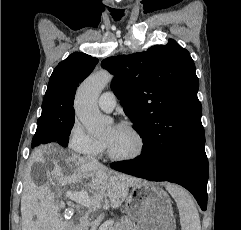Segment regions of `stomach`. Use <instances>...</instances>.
Segmentation results:
<instances>
[{"label": "stomach", "instance_id": "1", "mask_svg": "<svg viewBox=\"0 0 241 230\" xmlns=\"http://www.w3.org/2000/svg\"><path fill=\"white\" fill-rule=\"evenodd\" d=\"M125 209L136 222L134 230H176L170 197L153 183L140 181L133 185Z\"/></svg>", "mask_w": 241, "mask_h": 230}]
</instances>
